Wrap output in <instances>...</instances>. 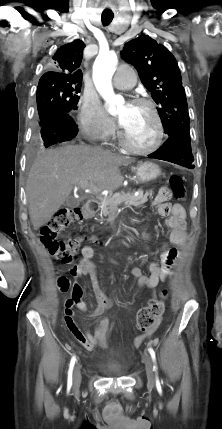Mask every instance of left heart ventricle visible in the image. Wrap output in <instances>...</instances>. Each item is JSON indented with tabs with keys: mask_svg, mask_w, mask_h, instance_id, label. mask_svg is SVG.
Instances as JSON below:
<instances>
[{
	"mask_svg": "<svg viewBox=\"0 0 222 429\" xmlns=\"http://www.w3.org/2000/svg\"><path fill=\"white\" fill-rule=\"evenodd\" d=\"M118 116L123 119L122 129L133 145L144 148L154 142L155 123L146 106L136 103H132L130 107L122 105Z\"/></svg>",
	"mask_w": 222,
	"mask_h": 429,
	"instance_id": "obj_1",
	"label": "left heart ventricle"
}]
</instances>
